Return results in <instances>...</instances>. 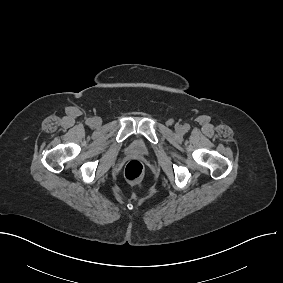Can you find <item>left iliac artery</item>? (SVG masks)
Returning a JSON list of instances; mask_svg holds the SVG:
<instances>
[{
    "mask_svg": "<svg viewBox=\"0 0 283 283\" xmlns=\"http://www.w3.org/2000/svg\"><path fill=\"white\" fill-rule=\"evenodd\" d=\"M184 128H185L186 130H188V129H189V125L186 124Z\"/></svg>",
    "mask_w": 283,
    "mask_h": 283,
    "instance_id": "44dca946",
    "label": "left iliac artery"
}]
</instances>
